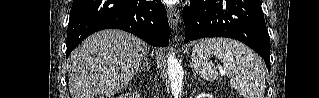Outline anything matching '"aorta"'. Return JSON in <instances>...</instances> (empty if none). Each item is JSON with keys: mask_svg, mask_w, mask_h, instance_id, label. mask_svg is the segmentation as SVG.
Returning a JSON list of instances; mask_svg holds the SVG:
<instances>
[{"mask_svg": "<svg viewBox=\"0 0 319 98\" xmlns=\"http://www.w3.org/2000/svg\"><path fill=\"white\" fill-rule=\"evenodd\" d=\"M167 65L171 92L175 98H178L183 88L184 72L179 61L175 58L174 54L172 53L168 54Z\"/></svg>", "mask_w": 319, "mask_h": 98, "instance_id": "1", "label": "aorta"}]
</instances>
